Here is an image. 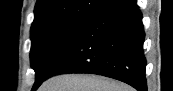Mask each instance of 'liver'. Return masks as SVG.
Wrapping results in <instances>:
<instances>
[{
  "label": "liver",
  "instance_id": "6515ba94",
  "mask_svg": "<svg viewBox=\"0 0 173 91\" xmlns=\"http://www.w3.org/2000/svg\"><path fill=\"white\" fill-rule=\"evenodd\" d=\"M39 91H134L127 84L99 75L64 74L46 80Z\"/></svg>",
  "mask_w": 173,
  "mask_h": 91
}]
</instances>
